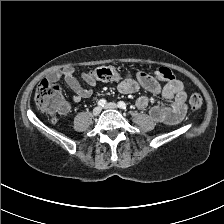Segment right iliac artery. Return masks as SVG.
Here are the masks:
<instances>
[{
  "instance_id": "1",
  "label": "right iliac artery",
  "mask_w": 224,
  "mask_h": 224,
  "mask_svg": "<svg viewBox=\"0 0 224 224\" xmlns=\"http://www.w3.org/2000/svg\"><path fill=\"white\" fill-rule=\"evenodd\" d=\"M106 103H107V102H106L105 99H100V100L98 101V105H99V106H102V107H103Z\"/></svg>"
}]
</instances>
